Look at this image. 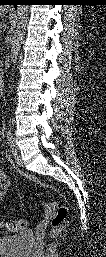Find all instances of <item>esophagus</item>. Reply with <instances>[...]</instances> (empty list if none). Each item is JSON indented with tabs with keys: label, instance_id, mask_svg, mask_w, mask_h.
Returning a JSON list of instances; mask_svg holds the SVG:
<instances>
[{
	"label": "esophagus",
	"instance_id": "34e87169",
	"mask_svg": "<svg viewBox=\"0 0 106 257\" xmlns=\"http://www.w3.org/2000/svg\"><path fill=\"white\" fill-rule=\"evenodd\" d=\"M11 9H12V8L9 7V6L5 7V10H11Z\"/></svg>",
	"mask_w": 106,
	"mask_h": 257
}]
</instances>
